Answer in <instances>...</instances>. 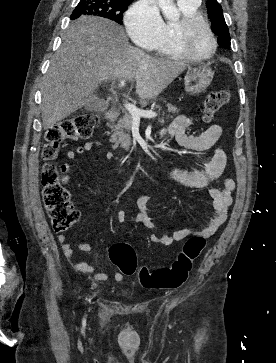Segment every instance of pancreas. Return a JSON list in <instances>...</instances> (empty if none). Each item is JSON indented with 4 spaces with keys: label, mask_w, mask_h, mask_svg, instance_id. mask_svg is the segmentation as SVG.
I'll list each match as a JSON object with an SVG mask.
<instances>
[{
    "label": "pancreas",
    "mask_w": 276,
    "mask_h": 363,
    "mask_svg": "<svg viewBox=\"0 0 276 363\" xmlns=\"http://www.w3.org/2000/svg\"><path fill=\"white\" fill-rule=\"evenodd\" d=\"M169 113L177 114L179 110L170 103L166 104ZM153 109H151L152 111ZM160 122H164V119H159ZM133 117L130 113H125L122 118H120L117 123L108 124L112 129V135L110 141L114 143L113 147L117 148L120 144L125 150H130L131 147V137L130 131L132 128Z\"/></svg>",
    "instance_id": "pancreas-1"
}]
</instances>
